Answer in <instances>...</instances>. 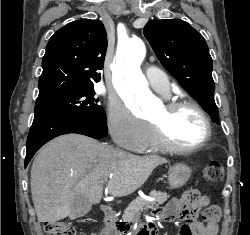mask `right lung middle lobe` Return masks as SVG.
Instances as JSON below:
<instances>
[{
  "label": "right lung middle lobe",
  "instance_id": "right-lung-middle-lobe-1",
  "mask_svg": "<svg viewBox=\"0 0 250 235\" xmlns=\"http://www.w3.org/2000/svg\"><path fill=\"white\" fill-rule=\"evenodd\" d=\"M94 85L38 97L34 113L59 112L86 117L106 123L103 108L98 105Z\"/></svg>",
  "mask_w": 250,
  "mask_h": 235
}]
</instances>
